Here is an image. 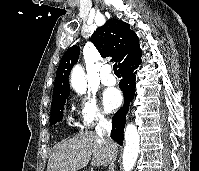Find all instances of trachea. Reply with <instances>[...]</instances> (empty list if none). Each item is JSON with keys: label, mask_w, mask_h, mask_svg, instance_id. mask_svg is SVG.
Returning a JSON list of instances; mask_svg holds the SVG:
<instances>
[{"label": "trachea", "mask_w": 199, "mask_h": 171, "mask_svg": "<svg viewBox=\"0 0 199 171\" xmlns=\"http://www.w3.org/2000/svg\"><path fill=\"white\" fill-rule=\"evenodd\" d=\"M113 70L115 74H119L117 63L113 65Z\"/></svg>", "instance_id": "3493384b"}]
</instances>
